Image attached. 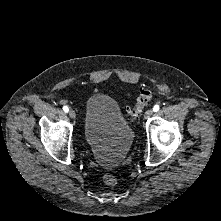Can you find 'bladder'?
<instances>
[{"mask_svg":"<svg viewBox=\"0 0 221 221\" xmlns=\"http://www.w3.org/2000/svg\"><path fill=\"white\" fill-rule=\"evenodd\" d=\"M84 137L96 161L117 166L128 154L134 132L118 102L104 93L90 95L85 104Z\"/></svg>","mask_w":221,"mask_h":221,"instance_id":"31cf9c89","label":"bladder"}]
</instances>
